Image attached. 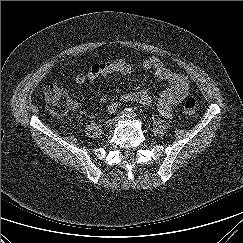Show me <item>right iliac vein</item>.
<instances>
[{"label": "right iliac vein", "instance_id": "1", "mask_svg": "<svg viewBox=\"0 0 243 243\" xmlns=\"http://www.w3.org/2000/svg\"><path fill=\"white\" fill-rule=\"evenodd\" d=\"M115 122H116V119H114V118L109 119V120L106 121L105 125H106L107 128H111L114 125Z\"/></svg>", "mask_w": 243, "mask_h": 243}]
</instances>
